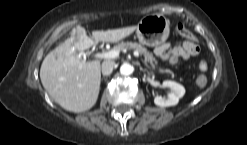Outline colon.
Wrapping results in <instances>:
<instances>
[{
  "label": "colon",
  "mask_w": 247,
  "mask_h": 145,
  "mask_svg": "<svg viewBox=\"0 0 247 145\" xmlns=\"http://www.w3.org/2000/svg\"><path fill=\"white\" fill-rule=\"evenodd\" d=\"M176 30L178 33H180L182 36L188 38V39H191V40H194L195 37L194 35L187 29H185L183 27V25L181 24H178L176 26ZM199 69L201 72H206L208 70V63L205 61V60H202L200 63H199ZM196 84L198 87L200 88H203L206 86L207 84V77L205 75H199L196 79Z\"/></svg>",
  "instance_id": "1"
}]
</instances>
